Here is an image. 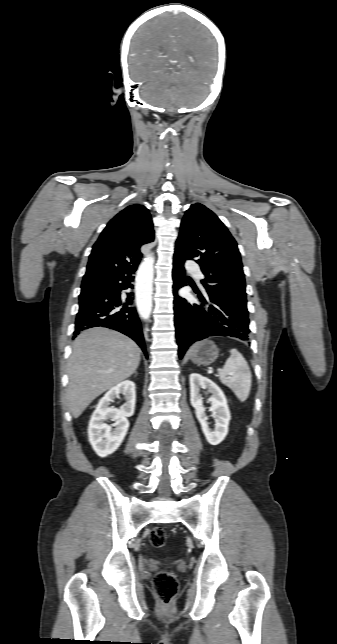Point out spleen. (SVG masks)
I'll use <instances>...</instances> for the list:
<instances>
[{"label":"spleen","instance_id":"3e777b00","mask_svg":"<svg viewBox=\"0 0 337 644\" xmlns=\"http://www.w3.org/2000/svg\"><path fill=\"white\" fill-rule=\"evenodd\" d=\"M229 352L230 357L219 371L218 377L224 385L234 392L239 401L243 402L250 394L251 371L247 361L238 350L231 349Z\"/></svg>","mask_w":337,"mask_h":644}]
</instances>
